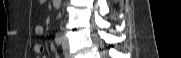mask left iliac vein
I'll list each match as a JSON object with an SVG mask.
<instances>
[{
	"mask_svg": "<svg viewBox=\"0 0 181 58\" xmlns=\"http://www.w3.org/2000/svg\"><path fill=\"white\" fill-rule=\"evenodd\" d=\"M62 48H63V53H64L65 58H71V55L69 52V47H68V42L65 37L63 38Z\"/></svg>",
	"mask_w": 181,
	"mask_h": 58,
	"instance_id": "1",
	"label": "left iliac vein"
}]
</instances>
